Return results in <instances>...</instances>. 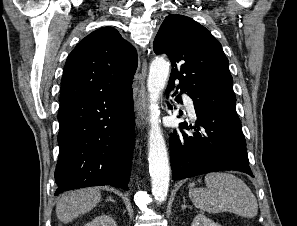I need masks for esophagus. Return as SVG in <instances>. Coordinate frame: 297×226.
<instances>
[{"mask_svg":"<svg viewBox=\"0 0 297 226\" xmlns=\"http://www.w3.org/2000/svg\"><path fill=\"white\" fill-rule=\"evenodd\" d=\"M147 76V62L144 59L142 63V72L140 80V89L136 98V110L138 116V127L143 129L147 124V91L145 87V80Z\"/></svg>","mask_w":297,"mask_h":226,"instance_id":"esophagus-1","label":"esophagus"}]
</instances>
